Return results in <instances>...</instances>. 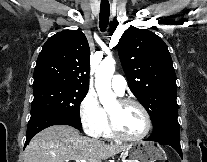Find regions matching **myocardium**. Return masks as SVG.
<instances>
[{
	"label": "myocardium",
	"instance_id": "obj_1",
	"mask_svg": "<svg viewBox=\"0 0 207 162\" xmlns=\"http://www.w3.org/2000/svg\"><path fill=\"white\" fill-rule=\"evenodd\" d=\"M117 104L120 108L126 107L128 105L137 106L144 114L145 128H144L143 132L138 135H135V136L125 135L119 130L113 116L108 112L109 128L111 130V133L117 138H120L123 140H131V141L140 140V139L144 138L145 136H147L151 130V127H152L151 116H150L147 108L138 100L131 99V98L120 99L117 101Z\"/></svg>",
	"mask_w": 207,
	"mask_h": 162
}]
</instances>
